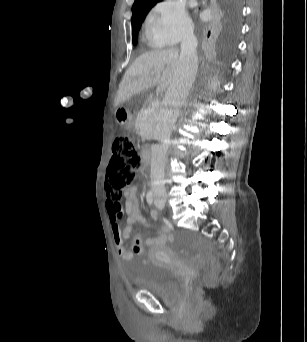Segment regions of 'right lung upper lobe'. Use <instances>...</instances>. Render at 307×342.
I'll return each instance as SVG.
<instances>
[{
    "label": "right lung upper lobe",
    "mask_w": 307,
    "mask_h": 342,
    "mask_svg": "<svg viewBox=\"0 0 307 342\" xmlns=\"http://www.w3.org/2000/svg\"><path fill=\"white\" fill-rule=\"evenodd\" d=\"M162 0H135L132 6V35H137L141 23L146 14L157 3ZM236 12L235 0H212L206 11L203 32L207 39L220 40L229 29L232 18Z\"/></svg>",
    "instance_id": "right-lung-upper-lobe-1"
}]
</instances>
